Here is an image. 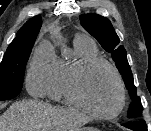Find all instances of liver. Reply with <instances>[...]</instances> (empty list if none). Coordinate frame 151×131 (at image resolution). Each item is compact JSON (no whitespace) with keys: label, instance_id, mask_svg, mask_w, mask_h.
Returning <instances> with one entry per match:
<instances>
[{"label":"liver","instance_id":"liver-1","mask_svg":"<svg viewBox=\"0 0 151 131\" xmlns=\"http://www.w3.org/2000/svg\"><path fill=\"white\" fill-rule=\"evenodd\" d=\"M90 120L75 109L19 101L0 116V131H79Z\"/></svg>","mask_w":151,"mask_h":131}]
</instances>
